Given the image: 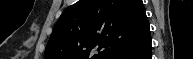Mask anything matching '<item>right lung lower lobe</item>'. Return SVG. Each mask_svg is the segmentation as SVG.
Wrapping results in <instances>:
<instances>
[{"mask_svg":"<svg viewBox=\"0 0 193 59\" xmlns=\"http://www.w3.org/2000/svg\"><path fill=\"white\" fill-rule=\"evenodd\" d=\"M111 59H151L150 32L136 43L111 57Z\"/></svg>","mask_w":193,"mask_h":59,"instance_id":"obj_1","label":"right lung lower lobe"}]
</instances>
